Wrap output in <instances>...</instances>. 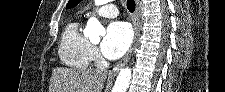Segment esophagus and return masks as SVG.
<instances>
[{
    "label": "esophagus",
    "instance_id": "34e87169",
    "mask_svg": "<svg viewBox=\"0 0 225 92\" xmlns=\"http://www.w3.org/2000/svg\"><path fill=\"white\" fill-rule=\"evenodd\" d=\"M133 25H134V39H133V42H132L129 50L125 54V56L119 62H117L114 65V67L110 70L109 73L111 75H116L119 72V70L128 63V61H129V59L131 57V54L133 52V49L136 46L137 39H138V36L140 34V1L139 0H136V13H135V16H134V19H133Z\"/></svg>",
    "mask_w": 225,
    "mask_h": 92
}]
</instances>
